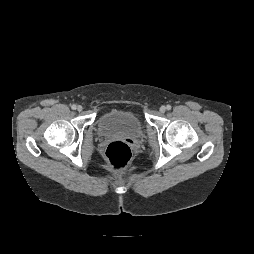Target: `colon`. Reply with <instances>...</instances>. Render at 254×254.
I'll use <instances>...</instances> for the list:
<instances>
[{"instance_id":"1","label":"colon","mask_w":254,"mask_h":254,"mask_svg":"<svg viewBox=\"0 0 254 254\" xmlns=\"http://www.w3.org/2000/svg\"><path fill=\"white\" fill-rule=\"evenodd\" d=\"M107 167L114 173L124 172L130 164L132 151L124 141L111 142L104 153Z\"/></svg>"}]
</instances>
